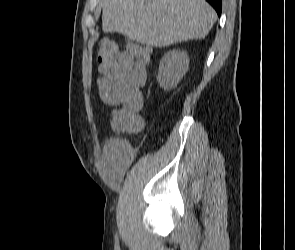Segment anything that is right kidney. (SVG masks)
<instances>
[{"mask_svg":"<svg viewBox=\"0 0 295 250\" xmlns=\"http://www.w3.org/2000/svg\"><path fill=\"white\" fill-rule=\"evenodd\" d=\"M189 66V58L186 51L172 50L161 59L157 80L164 90H171L177 86L185 75Z\"/></svg>","mask_w":295,"mask_h":250,"instance_id":"1","label":"right kidney"}]
</instances>
